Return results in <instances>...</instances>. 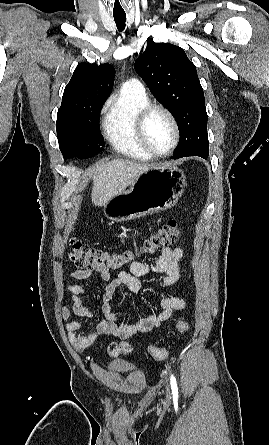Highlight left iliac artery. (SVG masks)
Masks as SVG:
<instances>
[{"label": "left iliac artery", "instance_id": "1", "mask_svg": "<svg viewBox=\"0 0 269 445\" xmlns=\"http://www.w3.org/2000/svg\"><path fill=\"white\" fill-rule=\"evenodd\" d=\"M170 384H171L173 397L178 398V387H177V382H176L174 375H171V377H170Z\"/></svg>", "mask_w": 269, "mask_h": 445}]
</instances>
